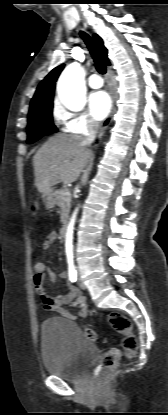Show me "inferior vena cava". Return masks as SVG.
I'll return each instance as SVG.
<instances>
[{
    "label": "inferior vena cava",
    "mask_w": 168,
    "mask_h": 415,
    "mask_svg": "<svg viewBox=\"0 0 168 415\" xmlns=\"http://www.w3.org/2000/svg\"><path fill=\"white\" fill-rule=\"evenodd\" d=\"M99 128V124L97 122H90L88 126V132L83 137V144L89 146L93 143L96 138V134Z\"/></svg>",
    "instance_id": "602c4592"
}]
</instances>
